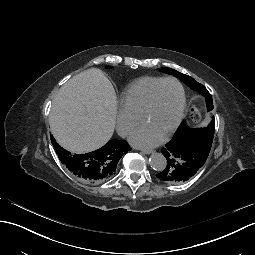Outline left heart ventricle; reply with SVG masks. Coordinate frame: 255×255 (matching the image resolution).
Masks as SVG:
<instances>
[{"mask_svg":"<svg viewBox=\"0 0 255 255\" xmlns=\"http://www.w3.org/2000/svg\"><path fill=\"white\" fill-rule=\"evenodd\" d=\"M181 104V92L177 84L167 82L162 84L155 96L154 104L149 114L141 122L162 138L175 123Z\"/></svg>","mask_w":255,"mask_h":255,"instance_id":"1","label":"left heart ventricle"}]
</instances>
